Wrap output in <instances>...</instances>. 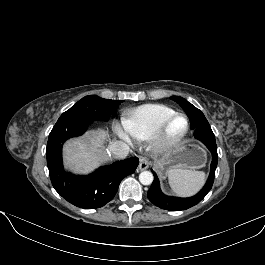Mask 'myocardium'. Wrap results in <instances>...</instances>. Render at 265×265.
I'll return each instance as SVG.
<instances>
[{
  "label": "myocardium",
  "instance_id": "f54148a6",
  "mask_svg": "<svg viewBox=\"0 0 265 265\" xmlns=\"http://www.w3.org/2000/svg\"><path fill=\"white\" fill-rule=\"evenodd\" d=\"M181 117L185 121V127L183 131L175 137H169L167 135V130L173 121L174 118ZM189 131V119L188 117L181 112L174 111L166 118H164L161 123L158 125L157 129L155 130L154 134L149 138L151 146L159 151L165 152L168 151L176 146H178Z\"/></svg>",
  "mask_w": 265,
  "mask_h": 265
}]
</instances>
